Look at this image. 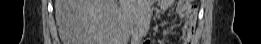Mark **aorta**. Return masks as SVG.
<instances>
[{"instance_id": "obj_1", "label": "aorta", "mask_w": 261, "mask_h": 44, "mask_svg": "<svg viewBox=\"0 0 261 44\" xmlns=\"http://www.w3.org/2000/svg\"><path fill=\"white\" fill-rule=\"evenodd\" d=\"M140 41V35L138 33L137 29H134V32L132 33V42L136 43Z\"/></svg>"}]
</instances>
